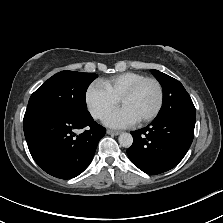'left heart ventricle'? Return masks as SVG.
<instances>
[{
    "mask_svg": "<svg viewBox=\"0 0 223 223\" xmlns=\"http://www.w3.org/2000/svg\"><path fill=\"white\" fill-rule=\"evenodd\" d=\"M157 102V90L154 84H144L133 96L124 99L121 106L126 108L136 119L149 115Z\"/></svg>",
    "mask_w": 223,
    "mask_h": 223,
    "instance_id": "1",
    "label": "left heart ventricle"
}]
</instances>
